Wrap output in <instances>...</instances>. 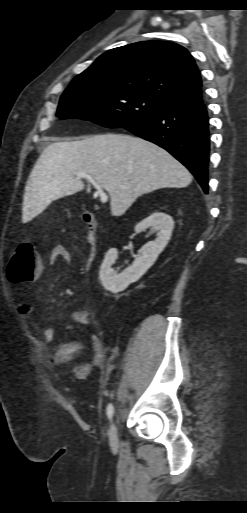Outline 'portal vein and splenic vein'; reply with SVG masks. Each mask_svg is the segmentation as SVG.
<instances>
[{
	"mask_svg": "<svg viewBox=\"0 0 247 513\" xmlns=\"http://www.w3.org/2000/svg\"><path fill=\"white\" fill-rule=\"evenodd\" d=\"M75 177L77 179H81V178H85L87 179L88 181H90L94 187L97 189L96 193L98 194V196L100 197V201L102 203H106L107 200H108V196L107 194L103 191L102 189V186H100L94 179L91 175L87 174V173H84V172H77L75 174Z\"/></svg>",
	"mask_w": 247,
	"mask_h": 513,
	"instance_id": "18ae733b",
	"label": "portal vein and splenic vein"
}]
</instances>
